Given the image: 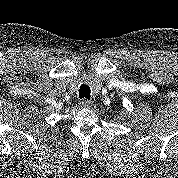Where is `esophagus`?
Here are the masks:
<instances>
[{
  "mask_svg": "<svg viewBox=\"0 0 178 178\" xmlns=\"http://www.w3.org/2000/svg\"><path fill=\"white\" fill-rule=\"evenodd\" d=\"M91 105H92V102L89 101L88 99H82L80 101V106L83 108H89V107H91Z\"/></svg>",
  "mask_w": 178,
  "mask_h": 178,
  "instance_id": "esophagus-1",
  "label": "esophagus"
}]
</instances>
